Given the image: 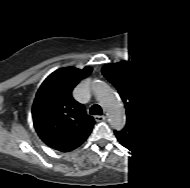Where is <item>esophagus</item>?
Masks as SVG:
<instances>
[{
	"label": "esophagus",
	"mask_w": 190,
	"mask_h": 188,
	"mask_svg": "<svg viewBox=\"0 0 190 188\" xmlns=\"http://www.w3.org/2000/svg\"><path fill=\"white\" fill-rule=\"evenodd\" d=\"M106 117L104 115L101 116H95V120L97 122L105 121Z\"/></svg>",
	"instance_id": "34e87169"
}]
</instances>
